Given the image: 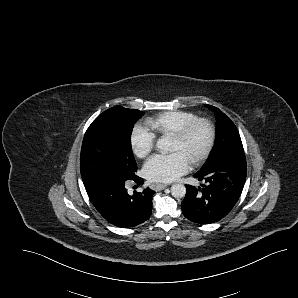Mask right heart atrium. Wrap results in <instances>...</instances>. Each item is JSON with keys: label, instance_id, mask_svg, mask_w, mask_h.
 <instances>
[{"label": "right heart atrium", "instance_id": "d8ad5b80", "mask_svg": "<svg viewBox=\"0 0 298 298\" xmlns=\"http://www.w3.org/2000/svg\"><path fill=\"white\" fill-rule=\"evenodd\" d=\"M131 145L134 153L138 157L143 158L155 147V135L146 127L136 124L131 132Z\"/></svg>", "mask_w": 298, "mask_h": 298}]
</instances>
